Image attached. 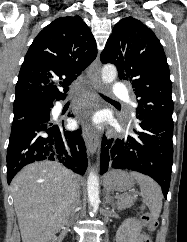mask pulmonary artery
<instances>
[{
  "label": "pulmonary artery",
  "instance_id": "1",
  "mask_svg": "<svg viewBox=\"0 0 187 242\" xmlns=\"http://www.w3.org/2000/svg\"><path fill=\"white\" fill-rule=\"evenodd\" d=\"M114 95L119 99L126 98L128 96L126 86L121 83H116L114 86Z\"/></svg>",
  "mask_w": 187,
  "mask_h": 242
}]
</instances>
